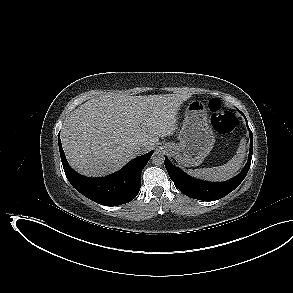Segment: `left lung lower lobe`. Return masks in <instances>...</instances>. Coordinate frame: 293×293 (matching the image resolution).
Returning <instances> with one entry per match:
<instances>
[{"label": "left lung lower lobe", "instance_id": "0a47b994", "mask_svg": "<svg viewBox=\"0 0 293 293\" xmlns=\"http://www.w3.org/2000/svg\"><path fill=\"white\" fill-rule=\"evenodd\" d=\"M249 135L250 151L248 161L242 172H240L234 178L222 183H211L202 180H196L186 175L181 169L172 165L167 157H165L164 164L171 180L174 182L175 186L188 197L203 201H214L223 198L231 191H233L237 186H239L249 171L253 153V134L250 129Z\"/></svg>", "mask_w": 293, "mask_h": 293}]
</instances>
